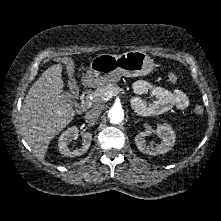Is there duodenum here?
Segmentation results:
<instances>
[{
    "mask_svg": "<svg viewBox=\"0 0 221 221\" xmlns=\"http://www.w3.org/2000/svg\"><path fill=\"white\" fill-rule=\"evenodd\" d=\"M91 89H85L80 97V106H81V110L82 111H87L90 109L91 105H92V101H91Z\"/></svg>",
    "mask_w": 221,
    "mask_h": 221,
    "instance_id": "duodenum-1",
    "label": "duodenum"
}]
</instances>
